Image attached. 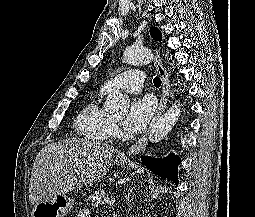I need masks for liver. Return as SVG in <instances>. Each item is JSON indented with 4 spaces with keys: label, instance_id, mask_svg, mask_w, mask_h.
<instances>
[{
    "label": "liver",
    "instance_id": "1",
    "mask_svg": "<svg viewBox=\"0 0 255 217\" xmlns=\"http://www.w3.org/2000/svg\"><path fill=\"white\" fill-rule=\"evenodd\" d=\"M114 148L87 139H68L43 147L33 164L29 200L36 205L91 185L106 175Z\"/></svg>",
    "mask_w": 255,
    "mask_h": 217
}]
</instances>
